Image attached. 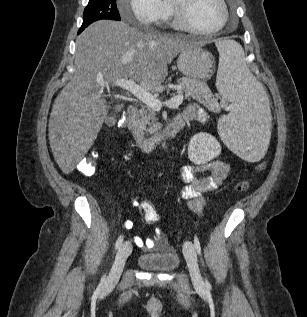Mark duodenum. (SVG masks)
<instances>
[{
    "mask_svg": "<svg viewBox=\"0 0 307 317\" xmlns=\"http://www.w3.org/2000/svg\"><path fill=\"white\" fill-rule=\"evenodd\" d=\"M137 115L138 107L136 105L129 106L126 113V121L129 122L128 130L136 147L141 151L149 150L166 139L172 138L187 121L186 118L179 115L166 130L157 135L148 137L141 131L137 122Z\"/></svg>",
    "mask_w": 307,
    "mask_h": 317,
    "instance_id": "1",
    "label": "duodenum"
}]
</instances>
